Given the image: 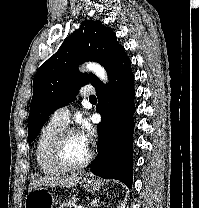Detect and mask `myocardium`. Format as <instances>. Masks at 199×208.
Returning a JSON list of instances; mask_svg holds the SVG:
<instances>
[{
  "label": "myocardium",
  "mask_w": 199,
  "mask_h": 208,
  "mask_svg": "<svg viewBox=\"0 0 199 208\" xmlns=\"http://www.w3.org/2000/svg\"><path fill=\"white\" fill-rule=\"evenodd\" d=\"M77 133L74 128H64L61 130L52 142L50 149V157L55 166L62 171H75L85 167L93 157V150L89 148L87 156L80 162L72 164L69 163L63 153L64 143L70 134Z\"/></svg>",
  "instance_id": "myocardium-1"
}]
</instances>
